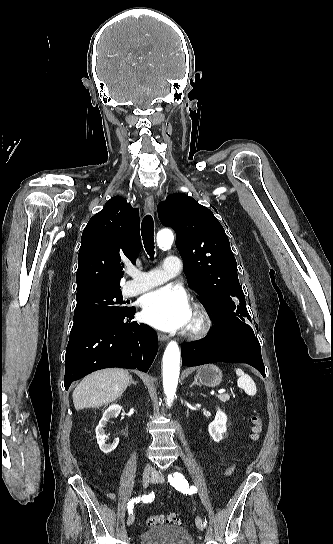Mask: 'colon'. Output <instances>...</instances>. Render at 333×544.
<instances>
[{"instance_id":"1","label":"colon","mask_w":333,"mask_h":544,"mask_svg":"<svg viewBox=\"0 0 333 544\" xmlns=\"http://www.w3.org/2000/svg\"><path fill=\"white\" fill-rule=\"evenodd\" d=\"M252 430H251V437L254 441H257L260 438L261 432H262V422L258 415H254L252 418ZM165 523H172V524H181V520L175 513H169V514H160V515H153L146 519V524L149 527L165 524Z\"/></svg>"}]
</instances>
